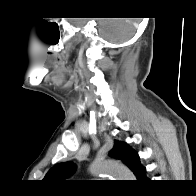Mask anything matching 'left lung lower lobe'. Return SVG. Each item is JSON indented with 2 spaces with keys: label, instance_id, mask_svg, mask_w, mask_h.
Here are the masks:
<instances>
[{
  "label": "left lung lower lobe",
  "instance_id": "1",
  "mask_svg": "<svg viewBox=\"0 0 196 196\" xmlns=\"http://www.w3.org/2000/svg\"><path fill=\"white\" fill-rule=\"evenodd\" d=\"M134 175L137 180H145L146 179V168L143 167L140 163L139 156L136 158V164L133 170Z\"/></svg>",
  "mask_w": 196,
  "mask_h": 196
}]
</instances>
